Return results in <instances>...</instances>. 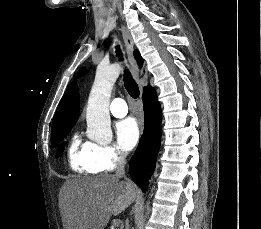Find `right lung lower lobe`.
Returning a JSON list of instances; mask_svg holds the SVG:
<instances>
[{
  "mask_svg": "<svg viewBox=\"0 0 261 229\" xmlns=\"http://www.w3.org/2000/svg\"><path fill=\"white\" fill-rule=\"evenodd\" d=\"M145 111L144 132L129 165L132 180L145 192L148 179L154 172L161 141V110L155 92L146 87L143 91Z\"/></svg>",
  "mask_w": 261,
  "mask_h": 229,
  "instance_id": "obj_1",
  "label": "right lung lower lobe"
}]
</instances>
